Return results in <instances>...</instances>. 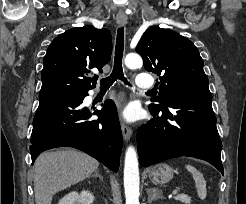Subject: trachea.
<instances>
[{
	"label": "trachea",
	"instance_id": "trachea-1",
	"mask_svg": "<svg viewBox=\"0 0 246 204\" xmlns=\"http://www.w3.org/2000/svg\"><path fill=\"white\" fill-rule=\"evenodd\" d=\"M123 51H124V28L121 27L117 31L113 71L108 77L103 78L100 81L101 89H105V90L109 89L117 79L123 81L125 84L130 85V83L127 81V79L124 77L123 74V68H122Z\"/></svg>",
	"mask_w": 246,
	"mask_h": 204
}]
</instances>
